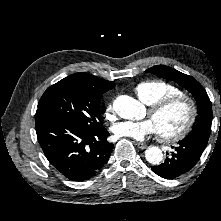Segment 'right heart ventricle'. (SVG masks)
Returning <instances> with one entry per match:
<instances>
[{
  "label": "right heart ventricle",
  "mask_w": 221,
  "mask_h": 221,
  "mask_svg": "<svg viewBox=\"0 0 221 221\" xmlns=\"http://www.w3.org/2000/svg\"><path fill=\"white\" fill-rule=\"evenodd\" d=\"M135 93L143 103L152 105L162 98L182 94V91L166 81L148 80L139 83Z\"/></svg>",
  "instance_id": "e07e8e85"
}]
</instances>
